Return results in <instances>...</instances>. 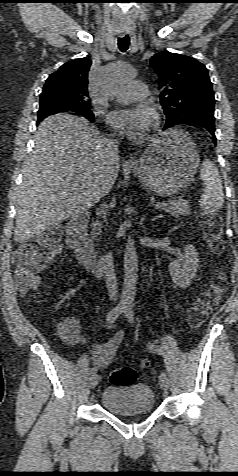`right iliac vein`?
I'll return each instance as SVG.
<instances>
[{
  "label": "right iliac vein",
  "mask_w": 238,
  "mask_h": 476,
  "mask_svg": "<svg viewBox=\"0 0 238 476\" xmlns=\"http://www.w3.org/2000/svg\"><path fill=\"white\" fill-rule=\"evenodd\" d=\"M98 382H99V376L96 373L92 374L90 379H89L90 387L95 388L97 386Z\"/></svg>",
  "instance_id": "right-iliac-vein-1"
}]
</instances>
